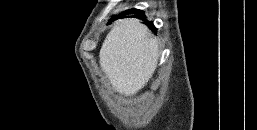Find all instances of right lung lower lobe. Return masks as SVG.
I'll return each instance as SVG.
<instances>
[{"label": "right lung lower lobe", "instance_id": "right-lung-lower-lobe-1", "mask_svg": "<svg viewBox=\"0 0 257 130\" xmlns=\"http://www.w3.org/2000/svg\"><path fill=\"white\" fill-rule=\"evenodd\" d=\"M132 13L141 14V15L139 16L140 18H141V17H145L144 14H143V12L140 11V10H137V9L127 10V11H125L123 14H132ZM123 14H122V15H123ZM115 18H116V17H114V19H115ZM120 18H122V17H120ZM148 25L150 26V28H152L154 31H156V28L154 27V25H153L152 23L148 22Z\"/></svg>", "mask_w": 257, "mask_h": 130}]
</instances>
